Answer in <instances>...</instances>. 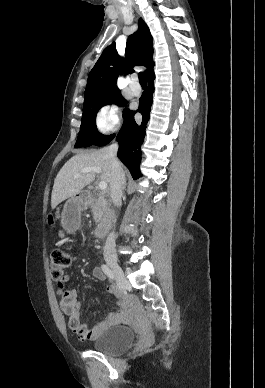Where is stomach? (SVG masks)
<instances>
[{
	"instance_id": "0dacf381",
	"label": "stomach",
	"mask_w": 265,
	"mask_h": 388,
	"mask_svg": "<svg viewBox=\"0 0 265 388\" xmlns=\"http://www.w3.org/2000/svg\"><path fill=\"white\" fill-rule=\"evenodd\" d=\"M82 202L79 198L69 199L62 212V226L69 232L74 231L80 223Z\"/></svg>"
}]
</instances>
